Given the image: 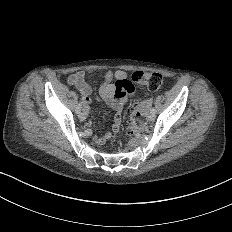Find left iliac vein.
<instances>
[{"label":"left iliac vein","instance_id":"left-iliac-vein-1","mask_svg":"<svg viewBox=\"0 0 232 232\" xmlns=\"http://www.w3.org/2000/svg\"><path fill=\"white\" fill-rule=\"evenodd\" d=\"M147 119L148 120H154L155 119V114L153 112H150L147 114Z\"/></svg>","mask_w":232,"mask_h":232}]
</instances>
